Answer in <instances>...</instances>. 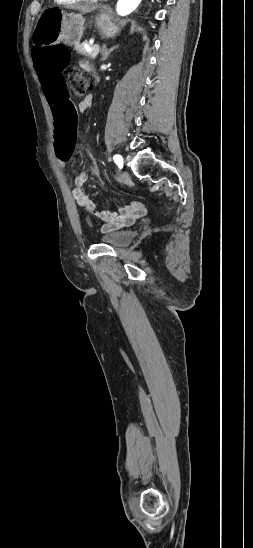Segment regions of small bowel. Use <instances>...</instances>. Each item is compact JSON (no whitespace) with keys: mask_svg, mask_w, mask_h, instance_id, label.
Wrapping results in <instances>:
<instances>
[{"mask_svg":"<svg viewBox=\"0 0 253 548\" xmlns=\"http://www.w3.org/2000/svg\"><path fill=\"white\" fill-rule=\"evenodd\" d=\"M93 101L94 98L91 94L86 95L76 107L77 113L78 111H85L90 108L93 104ZM56 158L60 166L64 167L69 165L70 157L68 159H61L56 156ZM72 172L75 173L74 188L72 191L75 202L84 211L92 213L97 219H99L103 223L102 229L104 231L129 226L134 223L138 218L144 215L145 207L144 204L140 201H133L124 207H120L118 210L112 209L97 211L94 202L89 198V196L82 188L84 183L88 179L87 173L83 171L77 172L75 168H72Z\"/></svg>","mask_w":253,"mask_h":548,"instance_id":"c3829d8e","label":"small bowel"}]
</instances>
